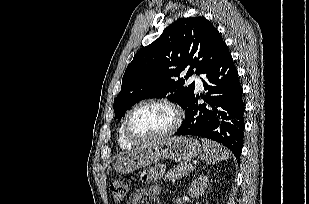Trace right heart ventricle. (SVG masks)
I'll return each mask as SVG.
<instances>
[{
    "instance_id": "obj_1",
    "label": "right heart ventricle",
    "mask_w": 309,
    "mask_h": 204,
    "mask_svg": "<svg viewBox=\"0 0 309 204\" xmlns=\"http://www.w3.org/2000/svg\"><path fill=\"white\" fill-rule=\"evenodd\" d=\"M118 142L120 147L124 148V149H128L130 147L133 146L132 143H130L124 136L123 133V123L121 124L120 128H119V137H118Z\"/></svg>"
}]
</instances>
